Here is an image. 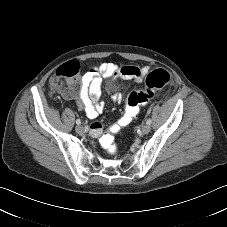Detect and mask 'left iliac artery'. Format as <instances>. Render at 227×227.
Returning a JSON list of instances; mask_svg holds the SVG:
<instances>
[{"mask_svg":"<svg viewBox=\"0 0 227 227\" xmlns=\"http://www.w3.org/2000/svg\"><path fill=\"white\" fill-rule=\"evenodd\" d=\"M148 125H150L152 123V120L151 119H148L147 122H146Z\"/></svg>","mask_w":227,"mask_h":227,"instance_id":"left-iliac-artery-1","label":"left iliac artery"}]
</instances>
